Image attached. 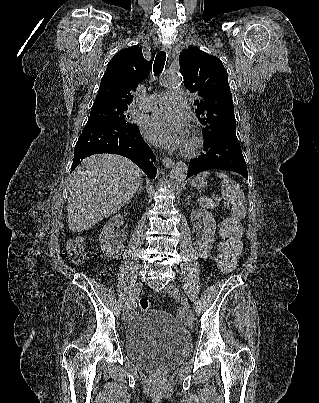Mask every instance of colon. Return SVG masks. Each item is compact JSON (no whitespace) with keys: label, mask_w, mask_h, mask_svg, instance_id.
<instances>
[{"label":"colon","mask_w":319,"mask_h":403,"mask_svg":"<svg viewBox=\"0 0 319 403\" xmlns=\"http://www.w3.org/2000/svg\"><path fill=\"white\" fill-rule=\"evenodd\" d=\"M222 242L220 243L218 255V267L223 272L231 271L242 253V229L236 220L227 219L220 225ZM67 252L73 263H82L85 259V250L80 239L72 240L67 245ZM150 302L146 298L139 300V308L142 311L150 309Z\"/></svg>","instance_id":"5ec220e1"}]
</instances>
